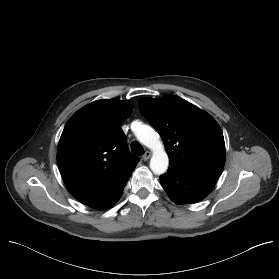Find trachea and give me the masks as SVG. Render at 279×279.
I'll return each instance as SVG.
<instances>
[{
    "mask_svg": "<svg viewBox=\"0 0 279 279\" xmlns=\"http://www.w3.org/2000/svg\"><path fill=\"white\" fill-rule=\"evenodd\" d=\"M131 151L135 155H143L144 154V148L137 141H133L131 143Z\"/></svg>",
    "mask_w": 279,
    "mask_h": 279,
    "instance_id": "1",
    "label": "trachea"
}]
</instances>
